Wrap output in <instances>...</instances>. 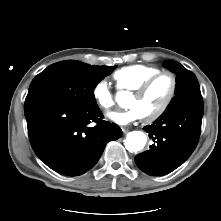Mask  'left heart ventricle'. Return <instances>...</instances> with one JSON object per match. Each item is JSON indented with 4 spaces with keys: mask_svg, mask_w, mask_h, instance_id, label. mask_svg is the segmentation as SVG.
<instances>
[{
    "mask_svg": "<svg viewBox=\"0 0 221 221\" xmlns=\"http://www.w3.org/2000/svg\"><path fill=\"white\" fill-rule=\"evenodd\" d=\"M170 85V78L167 75L160 77L144 96L132 95L128 107L138 110L141 117L154 113L166 100Z\"/></svg>",
    "mask_w": 221,
    "mask_h": 221,
    "instance_id": "1",
    "label": "left heart ventricle"
}]
</instances>
